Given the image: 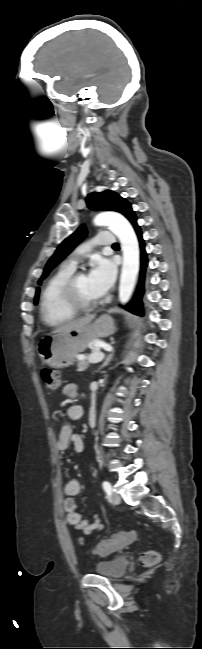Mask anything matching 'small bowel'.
Instances as JSON below:
<instances>
[{"mask_svg":"<svg viewBox=\"0 0 202 649\" xmlns=\"http://www.w3.org/2000/svg\"><path fill=\"white\" fill-rule=\"evenodd\" d=\"M78 393V387L74 383H68L63 388V394L67 397H75ZM68 417L73 420H79L83 415V408L81 405L72 404L67 408ZM70 443L73 444V448L76 452H82L84 450V442L79 434L73 433L72 428L69 425L63 426L56 440V448L58 451H65ZM81 490V485L78 480L71 479L64 486V495L66 497L64 507L66 511V519L70 526L75 530L81 531L82 533L88 535L94 532H98L104 528V524L99 518L98 515H93L89 519H84L79 512L76 510V505L74 497L79 494Z\"/></svg>","mask_w":202,"mask_h":649,"instance_id":"1","label":"small bowel"}]
</instances>
